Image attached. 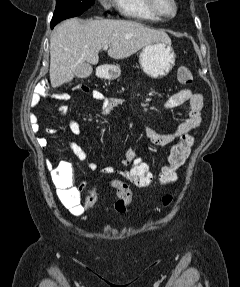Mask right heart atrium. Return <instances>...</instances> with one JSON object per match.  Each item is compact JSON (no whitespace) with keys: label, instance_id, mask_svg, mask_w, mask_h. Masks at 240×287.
I'll return each mask as SVG.
<instances>
[{"label":"right heart atrium","instance_id":"1","mask_svg":"<svg viewBox=\"0 0 240 287\" xmlns=\"http://www.w3.org/2000/svg\"><path fill=\"white\" fill-rule=\"evenodd\" d=\"M100 2L102 3V5H103L105 8H108L109 5H110L111 0H100Z\"/></svg>","mask_w":240,"mask_h":287}]
</instances>
